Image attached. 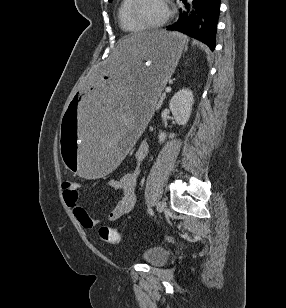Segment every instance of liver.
<instances>
[{"label":"liver","mask_w":286,"mask_h":308,"mask_svg":"<svg viewBox=\"0 0 286 308\" xmlns=\"http://www.w3.org/2000/svg\"><path fill=\"white\" fill-rule=\"evenodd\" d=\"M152 33H143V34H138V35H134L132 37H129V38H126V39H123L119 42L118 46L116 47L115 51H114V56L115 55H119L121 52H122V49H123V45H124V42L128 39H133L135 37H146L148 35H150Z\"/></svg>","instance_id":"1"}]
</instances>
